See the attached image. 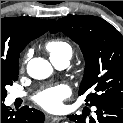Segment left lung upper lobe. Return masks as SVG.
<instances>
[{"mask_svg": "<svg viewBox=\"0 0 123 123\" xmlns=\"http://www.w3.org/2000/svg\"><path fill=\"white\" fill-rule=\"evenodd\" d=\"M63 32L79 44L85 59L79 95L89 93L86 105L106 99H123V36L107 21L96 16L59 19L51 33Z\"/></svg>", "mask_w": 123, "mask_h": 123, "instance_id": "1", "label": "left lung upper lobe"}]
</instances>
